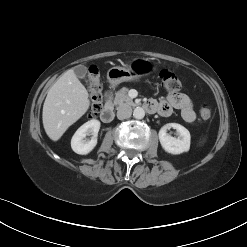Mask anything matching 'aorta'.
<instances>
[{"label": "aorta", "instance_id": "762f6f07", "mask_svg": "<svg viewBox=\"0 0 247 247\" xmlns=\"http://www.w3.org/2000/svg\"><path fill=\"white\" fill-rule=\"evenodd\" d=\"M133 116L136 119H142L145 116V111L142 107H136L133 111Z\"/></svg>", "mask_w": 247, "mask_h": 247}]
</instances>
